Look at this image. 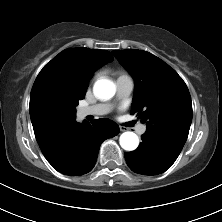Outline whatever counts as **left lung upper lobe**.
I'll list each match as a JSON object with an SVG mask.
<instances>
[{
  "instance_id": "left-lung-upper-lobe-1",
  "label": "left lung upper lobe",
  "mask_w": 222,
  "mask_h": 222,
  "mask_svg": "<svg viewBox=\"0 0 222 222\" xmlns=\"http://www.w3.org/2000/svg\"><path fill=\"white\" fill-rule=\"evenodd\" d=\"M112 53L135 80L131 111L139 114L147 130L167 133L169 127L179 126L188 136L191 96L177 72L146 51L129 49ZM184 144L185 141L177 143L181 149Z\"/></svg>"
}]
</instances>
